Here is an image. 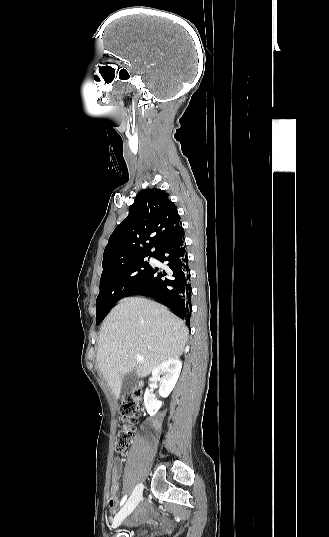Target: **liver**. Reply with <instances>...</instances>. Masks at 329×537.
I'll use <instances>...</instances> for the list:
<instances>
[{
	"instance_id": "1",
	"label": "liver",
	"mask_w": 329,
	"mask_h": 537,
	"mask_svg": "<svg viewBox=\"0 0 329 537\" xmlns=\"http://www.w3.org/2000/svg\"><path fill=\"white\" fill-rule=\"evenodd\" d=\"M189 331L166 307L149 299L120 301L100 329L97 364L116 399L122 378L132 370L145 377L162 363L184 351ZM141 355L144 361L138 362Z\"/></svg>"
}]
</instances>
